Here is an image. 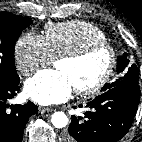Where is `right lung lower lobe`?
I'll list each match as a JSON object with an SVG mask.
<instances>
[{
	"mask_svg": "<svg viewBox=\"0 0 142 142\" xmlns=\"http://www.w3.org/2000/svg\"><path fill=\"white\" fill-rule=\"evenodd\" d=\"M20 80L0 86V142H22L24 128L31 115L38 112V107L28 102L24 105L11 106L7 100L16 96Z\"/></svg>",
	"mask_w": 142,
	"mask_h": 142,
	"instance_id": "1",
	"label": "right lung lower lobe"
}]
</instances>
